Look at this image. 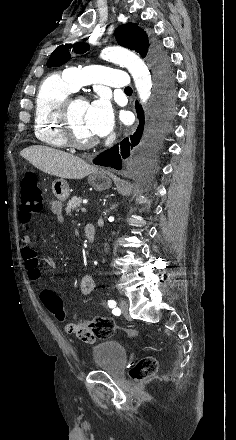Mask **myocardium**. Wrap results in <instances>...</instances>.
Segmentation results:
<instances>
[{
	"label": "myocardium",
	"mask_w": 236,
	"mask_h": 440,
	"mask_svg": "<svg viewBox=\"0 0 236 440\" xmlns=\"http://www.w3.org/2000/svg\"><path fill=\"white\" fill-rule=\"evenodd\" d=\"M77 101L87 102V99L84 95L72 92L67 95L61 102L57 111V120L60 124V134L68 146L77 149L92 148L98 143V140L96 138L84 141L79 140L73 130L71 121V110L73 105Z\"/></svg>",
	"instance_id": "f54148a6"
}]
</instances>
